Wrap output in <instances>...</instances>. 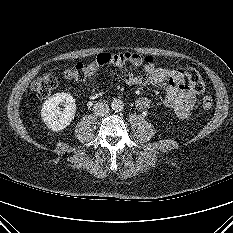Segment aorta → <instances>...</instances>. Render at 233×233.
Returning a JSON list of instances; mask_svg holds the SVG:
<instances>
[{
    "mask_svg": "<svg viewBox=\"0 0 233 233\" xmlns=\"http://www.w3.org/2000/svg\"><path fill=\"white\" fill-rule=\"evenodd\" d=\"M123 107H124V103L119 99H115L111 102V108L114 111H121Z\"/></svg>",
    "mask_w": 233,
    "mask_h": 233,
    "instance_id": "aorta-1",
    "label": "aorta"
}]
</instances>
